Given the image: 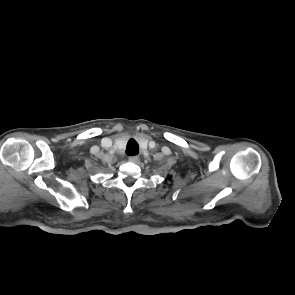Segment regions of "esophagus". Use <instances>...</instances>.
Here are the masks:
<instances>
[{"instance_id":"esophagus-1","label":"esophagus","mask_w":295,"mask_h":295,"mask_svg":"<svg viewBox=\"0 0 295 295\" xmlns=\"http://www.w3.org/2000/svg\"><path fill=\"white\" fill-rule=\"evenodd\" d=\"M128 160L130 161V162H134V163H136V162H138V160H139V157L138 156H130L129 158H128Z\"/></svg>"}]
</instances>
